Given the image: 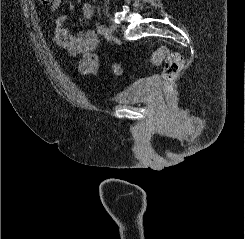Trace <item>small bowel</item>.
<instances>
[{
	"mask_svg": "<svg viewBox=\"0 0 245 239\" xmlns=\"http://www.w3.org/2000/svg\"><path fill=\"white\" fill-rule=\"evenodd\" d=\"M63 0H52L51 11L56 12ZM81 15L84 19L90 20L94 15L93 6L90 3H83L80 7ZM66 17L57 16L54 20V40L55 43L66 51L69 56H81V61L77 66V71L81 75L91 77L99 76V59L95 54L98 45V36L92 29L71 34L65 28Z\"/></svg>",
	"mask_w": 245,
	"mask_h": 239,
	"instance_id": "obj_1",
	"label": "small bowel"
}]
</instances>
